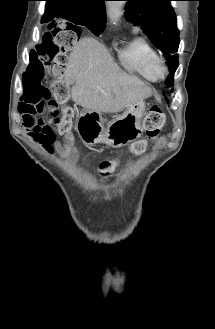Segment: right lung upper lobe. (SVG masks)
Instances as JSON below:
<instances>
[{
  "mask_svg": "<svg viewBox=\"0 0 215 329\" xmlns=\"http://www.w3.org/2000/svg\"><path fill=\"white\" fill-rule=\"evenodd\" d=\"M46 10L43 22L53 21L55 18H67L69 15H78L86 22L103 24L106 14L104 2L106 0H46ZM54 13L48 15L47 13Z\"/></svg>",
  "mask_w": 215,
  "mask_h": 329,
  "instance_id": "right-lung-upper-lobe-1",
  "label": "right lung upper lobe"
}]
</instances>
